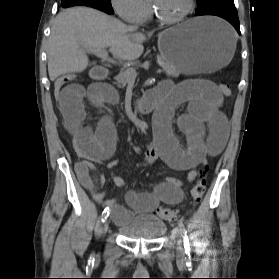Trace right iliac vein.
<instances>
[{"label": "right iliac vein", "mask_w": 279, "mask_h": 279, "mask_svg": "<svg viewBox=\"0 0 279 279\" xmlns=\"http://www.w3.org/2000/svg\"><path fill=\"white\" fill-rule=\"evenodd\" d=\"M108 228H109V222H108V220H106L101 229L102 235L106 234V232L108 231Z\"/></svg>", "instance_id": "63e3f726"}]
</instances>
